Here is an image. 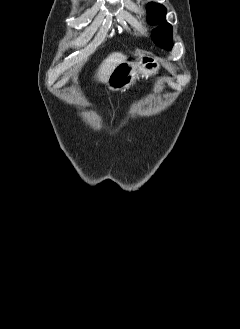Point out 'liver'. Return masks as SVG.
<instances>
[{"label":"liver","instance_id":"liver-1","mask_svg":"<svg viewBox=\"0 0 240 329\" xmlns=\"http://www.w3.org/2000/svg\"><path fill=\"white\" fill-rule=\"evenodd\" d=\"M126 59L127 56L121 52H114L110 54L99 66L96 73V79L99 82L106 83L115 67Z\"/></svg>","mask_w":240,"mask_h":329}]
</instances>
